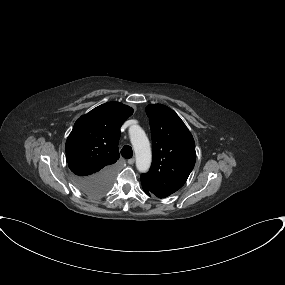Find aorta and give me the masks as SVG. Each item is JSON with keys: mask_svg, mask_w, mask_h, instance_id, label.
I'll return each mask as SVG.
<instances>
[{"mask_svg": "<svg viewBox=\"0 0 285 285\" xmlns=\"http://www.w3.org/2000/svg\"><path fill=\"white\" fill-rule=\"evenodd\" d=\"M130 141L136 156L138 171L146 173L151 165V147L144 130L139 126H132L129 130Z\"/></svg>", "mask_w": 285, "mask_h": 285, "instance_id": "762f6f07", "label": "aorta"}]
</instances>
